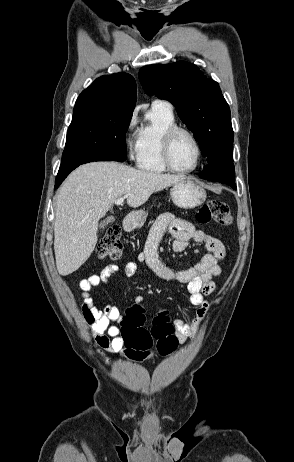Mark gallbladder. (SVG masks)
I'll use <instances>...</instances> for the list:
<instances>
[{"label": "gallbladder", "instance_id": "bac80fb5", "mask_svg": "<svg viewBox=\"0 0 294 462\" xmlns=\"http://www.w3.org/2000/svg\"><path fill=\"white\" fill-rule=\"evenodd\" d=\"M111 222H113V218L108 217L107 219H105L104 221L100 223V228H104L106 225H108Z\"/></svg>", "mask_w": 294, "mask_h": 462}]
</instances>
